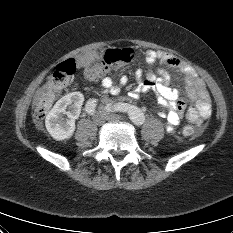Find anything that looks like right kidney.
I'll list each match as a JSON object with an SVG mask.
<instances>
[{
    "label": "right kidney",
    "mask_w": 233,
    "mask_h": 233,
    "mask_svg": "<svg viewBox=\"0 0 233 233\" xmlns=\"http://www.w3.org/2000/svg\"><path fill=\"white\" fill-rule=\"evenodd\" d=\"M84 96L72 92L59 99L46 116L45 125L49 134L57 141L71 138L75 131V120L81 113Z\"/></svg>",
    "instance_id": "ca27d5eb"
}]
</instances>
